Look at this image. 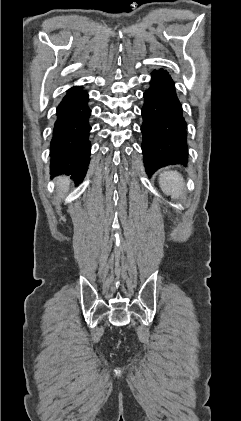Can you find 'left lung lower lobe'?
Masks as SVG:
<instances>
[{
    "label": "left lung lower lobe",
    "instance_id": "0a47b994",
    "mask_svg": "<svg viewBox=\"0 0 241 421\" xmlns=\"http://www.w3.org/2000/svg\"><path fill=\"white\" fill-rule=\"evenodd\" d=\"M141 110L142 151L148 175L168 165L188 162L187 124L174 81L163 69L154 70Z\"/></svg>",
    "mask_w": 241,
    "mask_h": 421
}]
</instances>
